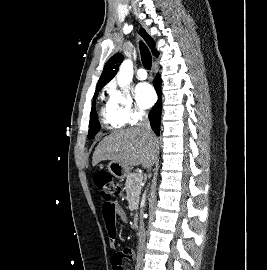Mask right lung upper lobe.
Returning <instances> with one entry per match:
<instances>
[{
  "label": "right lung upper lobe",
  "instance_id": "1",
  "mask_svg": "<svg viewBox=\"0 0 267 270\" xmlns=\"http://www.w3.org/2000/svg\"><path fill=\"white\" fill-rule=\"evenodd\" d=\"M140 35L143 36L145 41L148 43L149 47L152 49V53L157 56L158 53L154 51L155 42L154 40L146 33L144 29L140 30ZM124 57L122 54L118 53L113 55L105 64L101 77L98 81L96 91H100L118 72V68L123 61Z\"/></svg>",
  "mask_w": 267,
  "mask_h": 270
}]
</instances>
